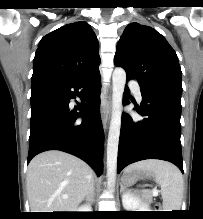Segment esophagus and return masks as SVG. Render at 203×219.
Segmentation results:
<instances>
[{
	"instance_id": "1",
	"label": "esophagus",
	"mask_w": 203,
	"mask_h": 219,
	"mask_svg": "<svg viewBox=\"0 0 203 219\" xmlns=\"http://www.w3.org/2000/svg\"><path fill=\"white\" fill-rule=\"evenodd\" d=\"M110 100L102 99L101 101V117L103 124L106 125L109 121L110 115Z\"/></svg>"
}]
</instances>
